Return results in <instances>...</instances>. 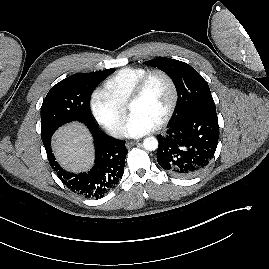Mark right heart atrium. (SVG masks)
<instances>
[{
	"instance_id": "right-heart-atrium-1",
	"label": "right heart atrium",
	"mask_w": 269,
	"mask_h": 269,
	"mask_svg": "<svg viewBox=\"0 0 269 269\" xmlns=\"http://www.w3.org/2000/svg\"><path fill=\"white\" fill-rule=\"evenodd\" d=\"M90 110L96 121L114 136L124 132L125 109L113 101L103 89H96L90 97Z\"/></svg>"
}]
</instances>
